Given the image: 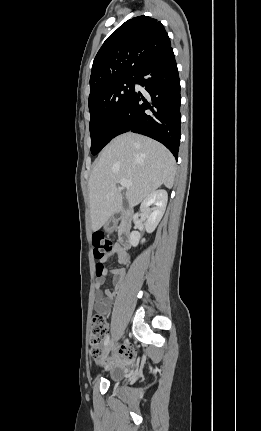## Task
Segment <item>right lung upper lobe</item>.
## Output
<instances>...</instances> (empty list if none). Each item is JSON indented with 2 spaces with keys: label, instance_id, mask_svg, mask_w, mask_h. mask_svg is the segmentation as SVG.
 <instances>
[{
  "label": "right lung upper lobe",
  "instance_id": "1",
  "mask_svg": "<svg viewBox=\"0 0 261 431\" xmlns=\"http://www.w3.org/2000/svg\"><path fill=\"white\" fill-rule=\"evenodd\" d=\"M171 46L164 26L148 16L123 23L98 51L90 76V93L140 70Z\"/></svg>",
  "mask_w": 261,
  "mask_h": 431
}]
</instances>
